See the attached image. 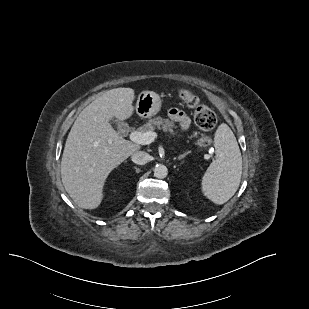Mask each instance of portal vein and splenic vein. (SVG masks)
Here are the masks:
<instances>
[{"label":"portal vein and splenic vein","instance_id":"18ae733b","mask_svg":"<svg viewBox=\"0 0 309 309\" xmlns=\"http://www.w3.org/2000/svg\"><path fill=\"white\" fill-rule=\"evenodd\" d=\"M130 139L138 144L147 145L152 143L157 137V133L153 131L139 132L133 131L129 135Z\"/></svg>","mask_w":309,"mask_h":309}]
</instances>
